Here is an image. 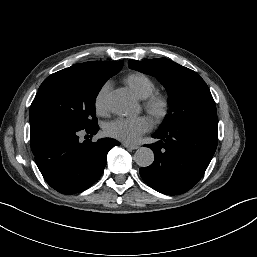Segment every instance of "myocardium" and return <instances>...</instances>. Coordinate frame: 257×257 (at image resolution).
Returning a JSON list of instances; mask_svg holds the SVG:
<instances>
[{"label": "myocardium", "instance_id": "1", "mask_svg": "<svg viewBox=\"0 0 257 257\" xmlns=\"http://www.w3.org/2000/svg\"><path fill=\"white\" fill-rule=\"evenodd\" d=\"M144 108L155 119H161L165 116L168 108L167 99L158 93H153L144 101Z\"/></svg>", "mask_w": 257, "mask_h": 257}]
</instances>
